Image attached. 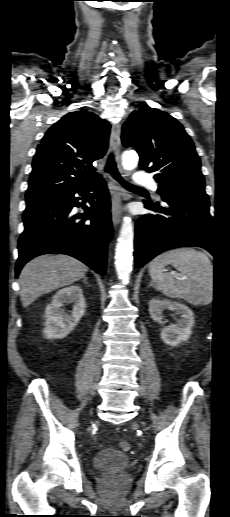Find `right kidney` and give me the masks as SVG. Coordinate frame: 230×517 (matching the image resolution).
<instances>
[{
  "instance_id": "1",
  "label": "right kidney",
  "mask_w": 230,
  "mask_h": 517,
  "mask_svg": "<svg viewBox=\"0 0 230 517\" xmlns=\"http://www.w3.org/2000/svg\"><path fill=\"white\" fill-rule=\"evenodd\" d=\"M64 303H72L71 315L66 314ZM86 303L80 286L72 285L59 290L45 310V328L43 334L47 339L66 337L79 323L85 313Z\"/></svg>"
}]
</instances>
